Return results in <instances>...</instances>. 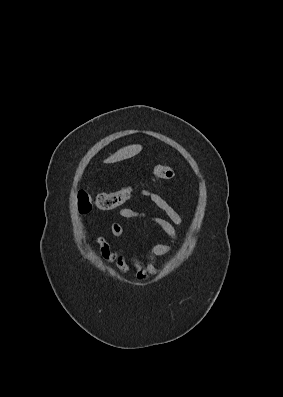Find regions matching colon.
<instances>
[{
  "label": "colon",
  "instance_id": "colon-1",
  "mask_svg": "<svg viewBox=\"0 0 283 397\" xmlns=\"http://www.w3.org/2000/svg\"><path fill=\"white\" fill-rule=\"evenodd\" d=\"M175 175L173 168L166 163H159L152 169V176L155 180L172 179ZM131 189L124 187L112 192H102L91 195L86 189H81L78 194V206L81 213H87L93 208L99 210H113L124 205L129 199Z\"/></svg>",
  "mask_w": 283,
  "mask_h": 397
}]
</instances>
